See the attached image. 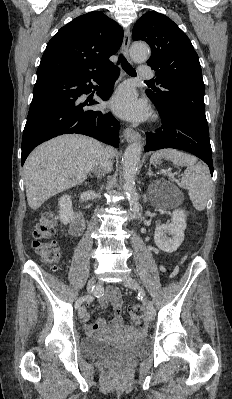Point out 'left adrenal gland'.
Instances as JSON below:
<instances>
[{
	"instance_id": "1",
	"label": "left adrenal gland",
	"mask_w": 232,
	"mask_h": 399,
	"mask_svg": "<svg viewBox=\"0 0 232 399\" xmlns=\"http://www.w3.org/2000/svg\"><path fill=\"white\" fill-rule=\"evenodd\" d=\"M146 176H155V174H153V172H151V168H149V172H147Z\"/></svg>"
}]
</instances>
